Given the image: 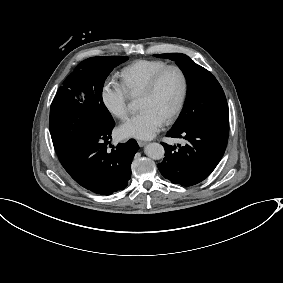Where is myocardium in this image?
<instances>
[{"mask_svg": "<svg viewBox=\"0 0 283 283\" xmlns=\"http://www.w3.org/2000/svg\"><path fill=\"white\" fill-rule=\"evenodd\" d=\"M170 70H175V71L178 72L180 79H181V90H180V94H179V97L177 99L175 106L172 108V110L165 117L166 120L173 119L176 115L179 114V112L181 111V109L183 107V104H184V101H185V98H186V94H187V88H188L187 76H186L184 70L178 65H167L164 68H162L161 70H159L157 73H155L149 79V81L146 83L145 87L140 92V95H150V94H152L156 90V88H157L159 82L161 81V79L163 78V76Z\"/></svg>", "mask_w": 283, "mask_h": 283, "instance_id": "1", "label": "myocardium"}]
</instances>
